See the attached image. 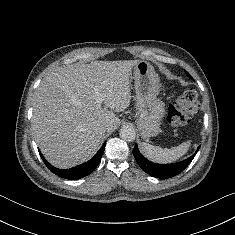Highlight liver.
I'll list each match as a JSON object with an SVG mask.
<instances>
[{
    "label": "liver",
    "mask_w": 235,
    "mask_h": 235,
    "mask_svg": "<svg viewBox=\"0 0 235 235\" xmlns=\"http://www.w3.org/2000/svg\"><path fill=\"white\" fill-rule=\"evenodd\" d=\"M139 60L94 61L64 66L39 84L33 102L32 129L45 158L58 168L91 159L105 131L115 130L130 105V75ZM96 88L104 108L97 103ZM106 125V129L102 126Z\"/></svg>",
    "instance_id": "obj_1"
}]
</instances>
